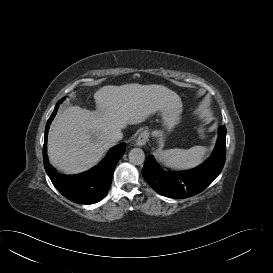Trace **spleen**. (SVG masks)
Here are the masks:
<instances>
[{
	"mask_svg": "<svg viewBox=\"0 0 273 273\" xmlns=\"http://www.w3.org/2000/svg\"><path fill=\"white\" fill-rule=\"evenodd\" d=\"M203 132L202 129L199 130ZM207 148L203 146H194L188 150L170 149L162 154L163 160L170 166L189 167L197 164L205 155Z\"/></svg>",
	"mask_w": 273,
	"mask_h": 273,
	"instance_id": "obj_1",
	"label": "spleen"
}]
</instances>
